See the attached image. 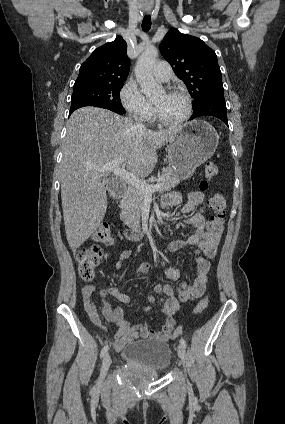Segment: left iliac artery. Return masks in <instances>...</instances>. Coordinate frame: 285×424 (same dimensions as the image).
I'll return each mask as SVG.
<instances>
[{
  "instance_id": "obj_1",
  "label": "left iliac artery",
  "mask_w": 285,
  "mask_h": 424,
  "mask_svg": "<svg viewBox=\"0 0 285 424\" xmlns=\"http://www.w3.org/2000/svg\"><path fill=\"white\" fill-rule=\"evenodd\" d=\"M180 344L186 348V341L183 338L180 339Z\"/></svg>"
}]
</instances>
